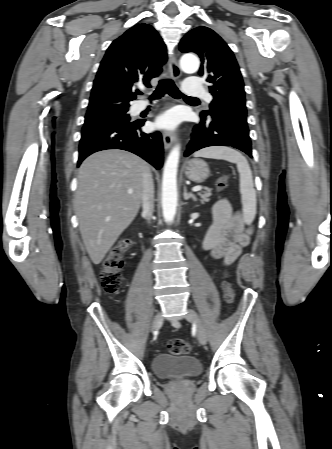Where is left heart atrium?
Here are the masks:
<instances>
[{"label":"left heart atrium","instance_id":"1","mask_svg":"<svg viewBox=\"0 0 332 449\" xmlns=\"http://www.w3.org/2000/svg\"><path fill=\"white\" fill-rule=\"evenodd\" d=\"M181 121V115L176 110H169L161 114L155 121V126L160 129L173 130Z\"/></svg>","mask_w":332,"mask_h":449}]
</instances>
